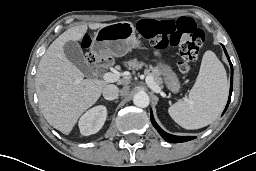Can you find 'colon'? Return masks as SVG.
Listing matches in <instances>:
<instances>
[{
  "label": "colon",
  "mask_w": 256,
  "mask_h": 171,
  "mask_svg": "<svg viewBox=\"0 0 256 171\" xmlns=\"http://www.w3.org/2000/svg\"><path fill=\"white\" fill-rule=\"evenodd\" d=\"M139 34L158 49L178 46L181 56L178 68L182 72L189 71L190 63L198 57L204 44L205 34L189 17L178 19H142L137 25ZM89 62L93 61L91 53L87 54Z\"/></svg>",
  "instance_id": "5ec220e1"
}]
</instances>
